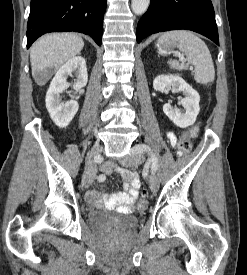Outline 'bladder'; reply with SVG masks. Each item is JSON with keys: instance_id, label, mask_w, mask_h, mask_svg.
<instances>
[{"instance_id": "obj_1", "label": "bladder", "mask_w": 247, "mask_h": 275, "mask_svg": "<svg viewBox=\"0 0 247 275\" xmlns=\"http://www.w3.org/2000/svg\"><path fill=\"white\" fill-rule=\"evenodd\" d=\"M89 222L93 225H117L122 227H133L137 223L134 214L124 215L120 218L114 212L108 210H91L88 213Z\"/></svg>"}]
</instances>
